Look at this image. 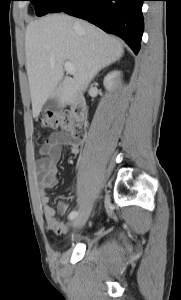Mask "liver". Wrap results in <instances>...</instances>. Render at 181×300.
Returning <instances> with one entry per match:
<instances>
[{"label": "liver", "instance_id": "liver-1", "mask_svg": "<svg viewBox=\"0 0 181 300\" xmlns=\"http://www.w3.org/2000/svg\"><path fill=\"white\" fill-rule=\"evenodd\" d=\"M26 70L33 117L50 97L69 105L97 73L118 61L123 44L98 27L64 14L47 15L28 24L25 34ZM75 67L64 77V63Z\"/></svg>", "mask_w": 181, "mask_h": 300}]
</instances>
